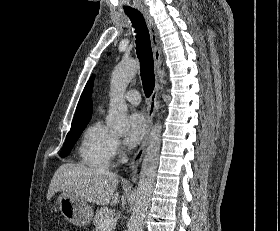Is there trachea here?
I'll list each match as a JSON object with an SVG mask.
<instances>
[{
  "instance_id": "trachea-1",
  "label": "trachea",
  "mask_w": 280,
  "mask_h": 231,
  "mask_svg": "<svg viewBox=\"0 0 280 231\" xmlns=\"http://www.w3.org/2000/svg\"><path fill=\"white\" fill-rule=\"evenodd\" d=\"M125 13L130 18L132 26L137 33L136 50L140 61L143 90L145 95L149 97L155 87L154 60L149 31L142 14L138 10H129L125 11Z\"/></svg>"
}]
</instances>
